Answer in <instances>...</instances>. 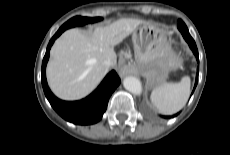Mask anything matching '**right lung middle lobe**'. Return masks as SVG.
<instances>
[{
	"label": "right lung middle lobe",
	"instance_id": "dd1d6c3e",
	"mask_svg": "<svg viewBox=\"0 0 230 155\" xmlns=\"http://www.w3.org/2000/svg\"><path fill=\"white\" fill-rule=\"evenodd\" d=\"M100 20H102L101 17L90 18V17L76 16V17L71 18L65 24H63L60 27V29L62 31H65L66 29L71 28V27L81 26V25H85L87 23H94V22H97V21H100Z\"/></svg>",
	"mask_w": 230,
	"mask_h": 155
}]
</instances>
